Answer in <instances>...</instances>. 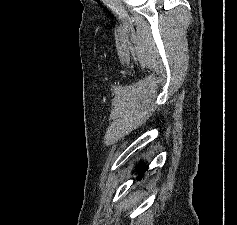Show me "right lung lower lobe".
Here are the masks:
<instances>
[{"label": "right lung lower lobe", "instance_id": "1", "mask_svg": "<svg viewBox=\"0 0 237 225\" xmlns=\"http://www.w3.org/2000/svg\"><path fill=\"white\" fill-rule=\"evenodd\" d=\"M138 170L140 171V174L137 176V180H140L143 177V173L147 170V167H145L144 163H140Z\"/></svg>", "mask_w": 237, "mask_h": 225}]
</instances>
